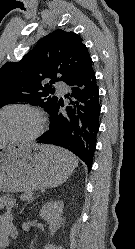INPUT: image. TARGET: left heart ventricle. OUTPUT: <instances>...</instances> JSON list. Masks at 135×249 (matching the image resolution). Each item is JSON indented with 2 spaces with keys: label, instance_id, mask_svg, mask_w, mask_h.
<instances>
[{
  "label": "left heart ventricle",
  "instance_id": "obj_1",
  "mask_svg": "<svg viewBox=\"0 0 135 249\" xmlns=\"http://www.w3.org/2000/svg\"><path fill=\"white\" fill-rule=\"evenodd\" d=\"M36 127L35 117L25 110L12 109L0 114V140L28 136Z\"/></svg>",
  "mask_w": 135,
  "mask_h": 249
}]
</instances>
